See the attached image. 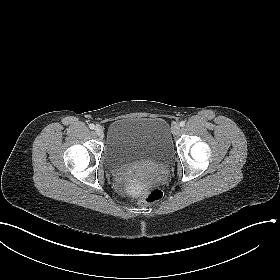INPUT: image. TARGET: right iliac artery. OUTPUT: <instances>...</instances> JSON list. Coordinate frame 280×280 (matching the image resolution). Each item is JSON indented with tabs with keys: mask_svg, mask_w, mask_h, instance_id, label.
Returning a JSON list of instances; mask_svg holds the SVG:
<instances>
[{
	"mask_svg": "<svg viewBox=\"0 0 280 280\" xmlns=\"http://www.w3.org/2000/svg\"><path fill=\"white\" fill-rule=\"evenodd\" d=\"M89 128H90V129H94V128H95L94 124H90V125H89Z\"/></svg>",
	"mask_w": 280,
	"mask_h": 280,
	"instance_id": "obj_1",
	"label": "right iliac artery"
}]
</instances>
